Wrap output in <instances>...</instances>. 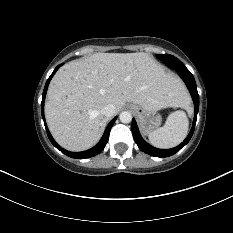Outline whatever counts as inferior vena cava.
Returning a JSON list of instances; mask_svg holds the SVG:
<instances>
[{
    "mask_svg": "<svg viewBox=\"0 0 233 233\" xmlns=\"http://www.w3.org/2000/svg\"><path fill=\"white\" fill-rule=\"evenodd\" d=\"M101 113L106 117H112L115 114V106L113 104H108L102 108Z\"/></svg>",
    "mask_w": 233,
    "mask_h": 233,
    "instance_id": "obj_1",
    "label": "inferior vena cava"
}]
</instances>
